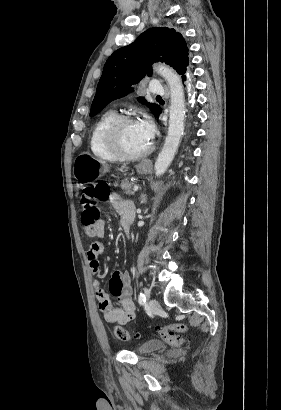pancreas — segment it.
<instances>
[{
	"instance_id": "cf45deb5",
	"label": "pancreas",
	"mask_w": 281,
	"mask_h": 410,
	"mask_svg": "<svg viewBox=\"0 0 281 410\" xmlns=\"http://www.w3.org/2000/svg\"><path fill=\"white\" fill-rule=\"evenodd\" d=\"M133 181H130L128 178L124 179L120 183L121 189L124 191L125 194L131 195L133 194L132 187H133ZM115 186H118L115 184Z\"/></svg>"
}]
</instances>
